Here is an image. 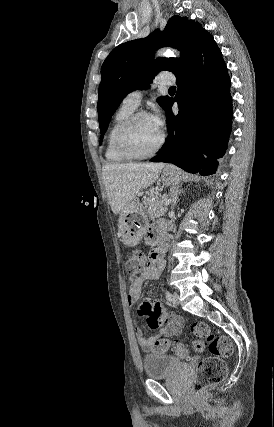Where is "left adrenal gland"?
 <instances>
[{
	"label": "left adrenal gland",
	"instance_id": "1",
	"mask_svg": "<svg viewBox=\"0 0 274 427\" xmlns=\"http://www.w3.org/2000/svg\"><path fill=\"white\" fill-rule=\"evenodd\" d=\"M181 192H183V190H178V188H171L170 190V194H171L170 198L172 200L171 210H174L175 204L178 200V196L179 194H181Z\"/></svg>",
	"mask_w": 274,
	"mask_h": 427
}]
</instances>
